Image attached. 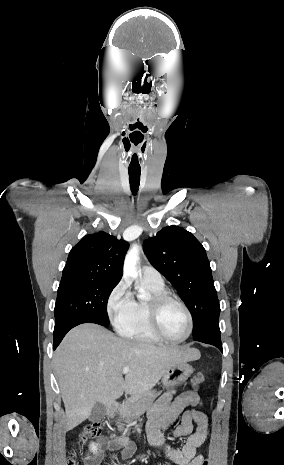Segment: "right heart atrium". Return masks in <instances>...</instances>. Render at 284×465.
Segmentation results:
<instances>
[{
  "instance_id": "1",
  "label": "right heart atrium",
  "mask_w": 284,
  "mask_h": 465,
  "mask_svg": "<svg viewBox=\"0 0 284 465\" xmlns=\"http://www.w3.org/2000/svg\"><path fill=\"white\" fill-rule=\"evenodd\" d=\"M134 299L128 289L127 283L122 279L109 293L105 309L109 320L116 324L125 317L132 308Z\"/></svg>"
}]
</instances>
